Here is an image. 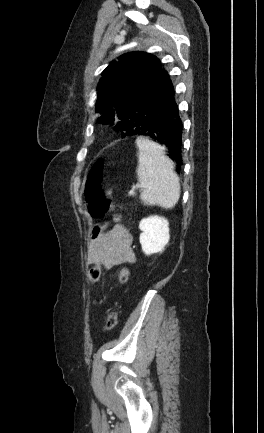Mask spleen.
Returning a JSON list of instances; mask_svg holds the SVG:
<instances>
[{
    "instance_id": "3e777b00",
    "label": "spleen",
    "mask_w": 264,
    "mask_h": 433,
    "mask_svg": "<svg viewBox=\"0 0 264 433\" xmlns=\"http://www.w3.org/2000/svg\"><path fill=\"white\" fill-rule=\"evenodd\" d=\"M136 144L139 149L137 174L144 187L141 200L146 205L174 207L180 197V184L172 160L161 145L146 137H138Z\"/></svg>"
}]
</instances>
